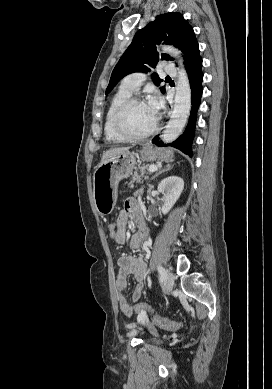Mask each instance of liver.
Instances as JSON below:
<instances>
[{"instance_id": "obj_1", "label": "liver", "mask_w": 272, "mask_h": 389, "mask_svg": "<svg viewBox=\"0 0 272 389\" xmlns=\"http://www.w3.org/2000/svg\"><path fill=\"white\" fill-rule=\"evenodd\" d=\"M129 149L130 147H118V148L109 149L105 153H103L101 163L106 161L109 157L128 151Z\"/></svg>"}]
</instances>
